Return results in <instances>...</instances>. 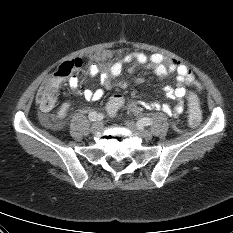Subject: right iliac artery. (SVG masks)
<instances>
[{
  "mask_svg": "<svg viewBox=\"0 0 233 233\" xmlns=\"http://www.w3.org/2000/svg\"><path fill=\"white\" fill-rule=\"evenodd\" d=\"M97 113L96 112H90V114H89V119L91 120V121H96V120H98V118H97Z\"/></svg>",
  "mask_w": 233,
  "mask_h": 233,
  "instance_id": "right-iliac-artery-1",
  "label": "right iliac artery"
}]
</instances>
